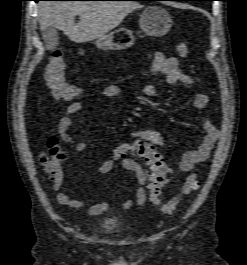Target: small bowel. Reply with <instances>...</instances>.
<instances>
[{"mask_svg":"<svg viewBox=\"0 0 247 265\" xmlns=\"http://www.w3.org/2000/svg\"><path fill=\"white\" fill-rule=\"evenodd\" d=\"M151 68L157 77L164 78L168 84H183L189 86L194 83L193 77L185 74L180 69L179 61L176 57L166 56L161 52H157L154 56ZM121 91L122 90L118 85L111 84L104 87L100 93L106 98H113L117 97ZM143 92L150 97L159 96V92L153 85L144 86ZM191 103L195 108L205 109L209 106L210 99L206 94L196 93L192 96ZM82 108V101H75L71 103L66 109V114L59 121L57 128L59 137L51 136L47 140V154L51 156H58L60 158L59 164L55 167H49L45 162L44 154L40 157V161L45 166V170L55 191H59L63 184L64 173L62 164L66 162L68 158L65 148L60 144V141L63 142L64 145L73 146L77 151L84 150L86 146L85 142L70 130L72 124L71 115L78 113L80 110H82ZM203 126L205 135L202 137L200 144L196 149L185 152L178 162V168L182 172H189L197 164L206 161L219 138V131L212 124L209 118L204 120ZM131 135L137 139L136 142L150 143L155 147L166 145V138L160 132L153 129H135L131 132ZM113 167L114 161L106 160L97 168V173L106 174L110 172ZM122 167L126 171L130 172L135 177L137 182L135 201L133 199H126L123 202V207L125 209H129L133 206L134 202L139 206L144 205L147 199L145 188L147 182L146 172L144 171L141 164L132 158L125 159L122 162ZM57 200L62 205L69 206L77 210H85L89 215L92 216L103 214L109 209V204L105 201L97 202L86 207V200L72 198L69 194L63 192L58 193Z\"/></svg>","mask_w":247,"mask_h":265,"instance_id":"c3829d8e","label":"small bowel"}]
</instances>
